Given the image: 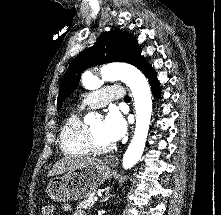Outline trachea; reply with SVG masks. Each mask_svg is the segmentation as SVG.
Here are the masks:
<instances>
[{
  "instance_id": "obj_1",
  "label": "trachea",
  "mask_w": 221,
  "mask_h": 215,
  "mask_svg": "<svg viewBox=\"0 0 221 215\" xmlns=\"http://www.w3.org/2000/svg\"><path fill=\"white\" fill-rule=\"evenodd\" d=\"M130 100H131V98L128 95L125 96L124 101H130Z\"/></svg>"
}]
</instances>
